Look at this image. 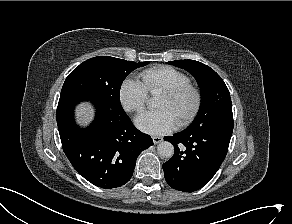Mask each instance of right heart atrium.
<instances>
[{"label":"right heart atrium","instance_id":"right-heart-atrium-1","mask_svg":"<svg viewBox=\"0 0 292 224\" xmlns=\"http://www.w3.org/2000/svg\"><path fill=\"white\" fill-rule=\"evenodd\" d=\"M119 100L125 111L139 113L147 103L148 92L140 81L127 78L120 85Z\"/></svg>","mask_w":292,"mask_h":224}]
</instances>
